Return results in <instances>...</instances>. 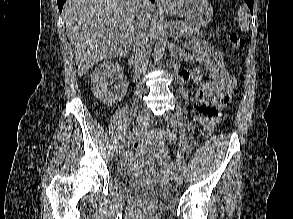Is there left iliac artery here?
<instances>
[{
  "instance_id": "44dca946",
  "label": "left iliac artery",
  "mask_w": 293,
  "mask_h": 219,
  "mask_svg": "<svg viewBox=\"0 0 293 219\" xmlns=\"http://www.w3.org/2000/svg\"><path fill=\"white\" fill-rule=\"evenodd\" d=\"M176 114H177L178 125L180 127V152H179V158L183 162H185L187 160V155H188V144H187L186 136H185V126H184L183 113H182V109H181L180 106H177Z\"/></svg>"
}]
</instances>
